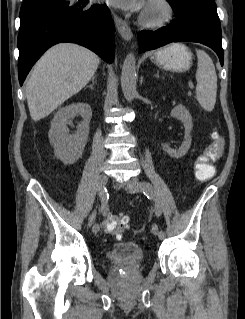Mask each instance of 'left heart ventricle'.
Instances as JSON below:
<instances>
[{"instance_id":"b2bd125f","label":"left heart ventricle","mask_w":245,"mask_h":319,"mask_svg":"<svg viewBox=\"0 0 245 319\" xmlns=\"http://www.w3.org/2000/svg\"><path fill=\"white\" fill-rule=\"evenodd\" d=\"M148 13H149L151 16H156V15H158L159 10H158V8H156V7H150V8L148 9Z\"/></svg>"}]
</instances>
